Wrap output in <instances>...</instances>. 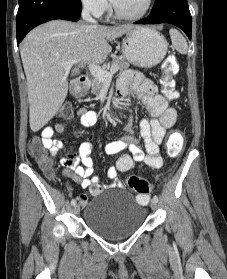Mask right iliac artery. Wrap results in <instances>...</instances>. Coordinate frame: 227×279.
Segmentation results:
<instances>
[{"instance_id":"82829eb1","label":"right iliac artery","mask_w":227,"mask_h":279,"mask_svg":"<svg viewBox=\"0 0 227 279\" xmlns=\"http://www.w3.org/2000/svg\"><path fill=\"white\" fill-rule=\"evenodd\" d=\"M76 204V200L75 199H72V201H71V205H75Z\"/></svg>"}]
</instances>
